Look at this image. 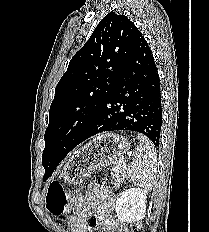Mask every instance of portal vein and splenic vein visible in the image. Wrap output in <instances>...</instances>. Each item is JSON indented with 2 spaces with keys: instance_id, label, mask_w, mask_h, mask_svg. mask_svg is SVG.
<instances>
[{
  "instance_id": "obj_1",
  "label": "portal vein and splenic vein",
  "mask_w": 209,
  "mask_h": 232,
  "mask_svg": "<svg viewBox=\"0 0 209 232\" xmlns=\"http://www.w3.org/2000/svg\"><path fill=\"white\" fill-rule=\"evenodd\" d=\"M126 162V158H122L121 160H119L116 165H115V169H118L119 167H121L122 163Z\"/></svg>"
}]
</instances>
